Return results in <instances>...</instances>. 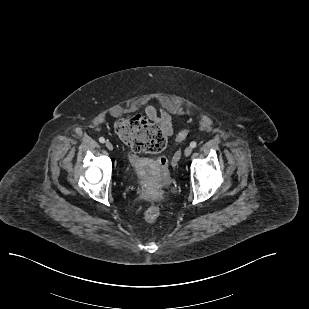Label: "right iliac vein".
<instances>
[{"label": "right iliac vein", "instance_id": "right-iliac-vein-1", "mask_svg": "<svg viewBox=\"0 0 309 309\" xmlns=\"http://www.w3.org/2000/svg\"><path fill=\"white\" fill-rule=\"evenodd\" d=\"M105 145H106L108 150H113V145H112L111 142L107 141Z\"/></svg>", "mask_w": 309, "mask_h": 309}]
</instances>
